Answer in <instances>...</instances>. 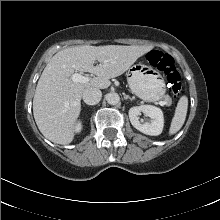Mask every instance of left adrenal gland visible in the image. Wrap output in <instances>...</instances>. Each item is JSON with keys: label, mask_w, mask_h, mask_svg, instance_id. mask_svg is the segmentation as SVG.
<instances>
[{"label": "left adrenal gland", "mask_w": 220, "mask_h": 220, "mask_svg": "<svg viewBox=\"0 0 220 220\" xmlns=\"http://www.w3.org/2000/svg\"><path fill=\"white\" fill-rule=\"evenodd\" d=\"M124 99H125V100L129 99L130 101H133V100H134V98H131L130 96H128V95H126V94L124 95Z\"/></svg>", "instance_id": "a2214340"}]
</instances>
